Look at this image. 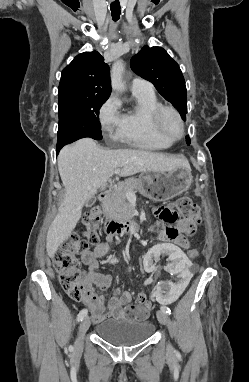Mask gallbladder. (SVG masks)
<instances>
[{"label":"gallbladder","instance_id":"obj_1","mask_svg":"<svg viewBox=\"0 0 249 382\" xmlns=\"http://www.w3.org/2000/svg\"><path fill=\"white\" fill-rule=\"evenodd\" d=\"M96 202V197H92L85 202L86 208H91Z\"/></svg>","mask_w":249,"mask_h":382}]
</instances>
